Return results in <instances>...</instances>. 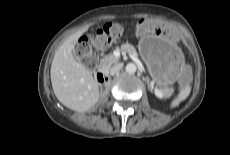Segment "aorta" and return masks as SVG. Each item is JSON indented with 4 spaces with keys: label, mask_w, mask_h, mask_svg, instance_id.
<instances>
[{
    "label": "aorta",
    "mask_w": 230,
    "mask_h": 155,
    "mask_svg": "<svg viewBox=\"0 0 230 155\" xmlns=\"http://www.w3.org/2000/svg\"><path fill=\"white\" fill-rule=\"evenodd\" d=\"M125 70L129 74H134L137 70V67L134 63H128L125 67Z\"/></svg>",
    "instance_id": "1"
}]
</instances>
